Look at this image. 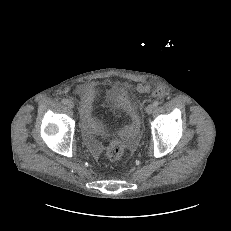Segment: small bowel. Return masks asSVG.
I'll return each mask as SVG.
<instances>
[{
    "label": "small bowel",
    "instance_id": "c3829d8e",
    "mask_svg": "<svg viewBox=\"0 0 231 231\" xmlns=\"http://www.w3.org/2000/svg\"><path fill=\"white\" fill-rule=\"evenodd\" d=\"M74 93L82 99L83 111H82V126L84 139L88 146L94 153H98L100 150V145L95 139V135L105 136L107 130L96 122L91 113V104L96 93V85L94 83H89L85 85L78 86ZM119 99H123L121 96L116 95ZM123 135L130 139L132 145L136 143L137 132H123Z\"/></svg>",
    "mask_w": 231,
    "mask_h": 231
}]
</instances>
